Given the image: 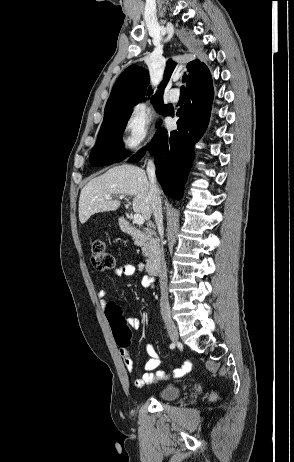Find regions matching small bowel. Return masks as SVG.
Listing matches in <instances>:
<instances>
[{"mask_svg":"<svg viewBox=\"0 0 294 462\" xmlns=\"http://www.w3.org/2000/svg\"><path fill=\"white\" fill-rule=\"evenodd\" d=\"M137 269L142 270L143 265L140 264V265H138L136 267L132 263H125V264L121 265L120 267H118L117 269H115L113 274L115 276H118V277H122V276L130 277V276H133L135 274ZM152 283H154V278L149 277V276L143 277V279H142V285L143 286H149ZM109 294H110V292L106 288H103L98 292V296L101 299V302H102V305L104 306V308L106 307V305L108 303L106 301V298L109 296ZM126 321H127L128 325H130L133 329H139L140 326H141V320L139 318H137V317H130ZM119 346H120V355L122 357V360L124 362V365H125L127 371L129 373H133V371H134V363H133V360L131 358L129 350L127 349L126 345L119 344ZM146 352H147V354L149 356V359H148V361L146 362V364L144 366L143 374L133 377V383L138 388H141L146 384H150V383H154V382L163 380V379H165L167 377L166 373L164 371H162V370H158V371L154 372L158 368V366L160 364V359H159V356H158L157 352L153 348V346L151 344H149V343L146 344ZM190 367H191L190 363L188 361H186V362L183 363V365L180 368L174 370L172 375L174 377H176V378L182 377L186 373L189 372Z\"/></svg>","mask_w":294,"mask_h":462,"instance_id":"c3829d8e","label":"small bowel"}]
</instances>
